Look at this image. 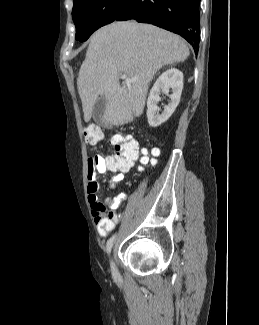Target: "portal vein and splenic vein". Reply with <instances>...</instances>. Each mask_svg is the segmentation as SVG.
I'll return each instance as SVG.
<instances>
[{"label":"portal vein and splenic vein","instance_id":"1","mask_svg":"<svg viewBox=\"0 0 259 325\" xmlns=\"http://www.w3.org/2000/svg\"><path fill=\"white\" fill-rule=\"evenodd\" d=\"M121 79L126 83V84H130L134 81V79H130L128 78L126 75H122Z\"/></svg>","mask_w":259,"mask_h":325}]
</instances>
